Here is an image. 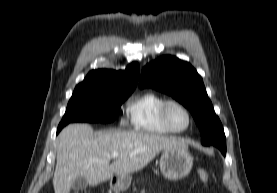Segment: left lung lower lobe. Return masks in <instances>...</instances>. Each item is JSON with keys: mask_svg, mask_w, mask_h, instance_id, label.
Listing matches in <instances>:
<instances>
[{"mask_svg": "<svg viewBox=\"0 0 277 193\" xmlns=\"http://www.w3.org/2000/svg\"><path fill=\"white\" fill-rule=\"evenodd\" d=\"M219 146L224 149V155L226 154V140L220 141Z\"/></svg>", "mask_w": 277, "mask_h": 193, "instance_id": "left-lung-lower-lobe-1", "label": "left lung lower lobe"}]
</instances>
